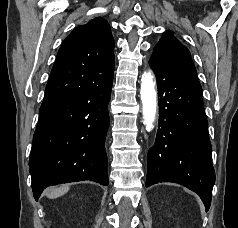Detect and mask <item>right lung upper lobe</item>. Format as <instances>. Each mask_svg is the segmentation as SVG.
Returning <instances> with one entry per match:
<instances>
[{
    "mask_svg": "<svg viewBox=\"0 0 238 228\" xmlns=\"http://www.w3.org/2000/svg\"><path fill=\"white\" fill-rule=\"evenodd\" d=\"M114 44L110 26L101 17L75 28L58 51L44 100L91 88L113 75Z\"/></svg>",
    "mask_w": 238,
    "mask_h": 228,
    "instance_id": "obj_1",
    "label": "right lung upper lobe"
}]
</instances>
